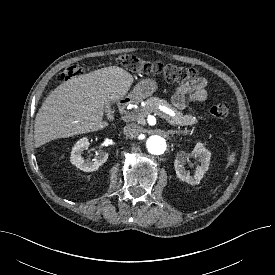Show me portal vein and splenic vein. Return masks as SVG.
Here are the masks:
<instances>
[{
    "label": "portal vein and splenic vein",
    "instance_id": "1",
    "mask_svg": "<svg viewBox=\"0 0 275 275\" xmlns=\"http://www.w3.org/2000/svg\"><path fill=\"white\" fill-rule=\"evenodd\" d=\"M161 110L164 111L166 114H169L170 116H172V114H174V112H173L172 110H169V109H167V108H165V107H163ZM155 115H158V116H160L161 118L166 119V121L169 122L167 115H164V114H162V113H156ZM169 123H170V122H169Z\"/></svg>",
    "mask_w": 275,
    "mask_h": 275
}]
</instances>
